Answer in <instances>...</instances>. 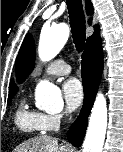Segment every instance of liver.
<instances>
[{"instance_id": "liver-1", "label": "liver", "mask_w": 123, "mask_h": 152, "mask_svg": "<svg viewBox=\"0 0 123 152\" xmlns=\"http://www.w3.org/2000/svg\"><path fill=\"white\" fill-rule=\"evenodd\" d=\"M14 152H68V149L56 138L41 136L22 143Z\"/></svg>"}]
</instances>
